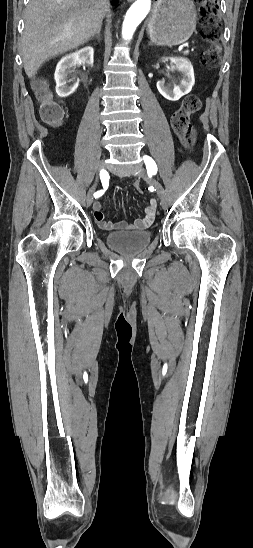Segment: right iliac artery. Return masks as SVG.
I'll list each match as a JSON object with an SVG mask.
<instances>
[{
    "label": "right iliac artery",
    "mask_w": 253,
    "mask_h": 548,
    "mask_svg": "<svg viewBox=\"0 0 253 548\" xmlns=\"http://www.w3.org/2000/svg\"><path fill=\"white\" fill-rule=\"evenodd\" d=\"M100 178H101V182L103 184V187L106 188V186L108 185V179H107V173L105 170H102L100 172ZM104 191L103 190H100V191H97L96 193H94V197H100L101 195H103Z\"/></svg>",
    "instance_id": "1"
}]
</instances>
